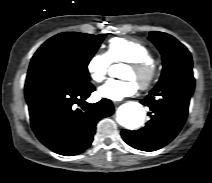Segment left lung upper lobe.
<instances>
[{"instance_id":"left-lung-upper-lobe-1","label":"left lung upper lobe","mask_w":212,"mask_h":183,"mask_svg":"<svg viewBox=\"0 0 212 183\" xmlns=\"http://www.w3.org/2000/svg\"><path fill=\"white\" fill-rule=\"evenodd\" d=\"M148 39L162 54L163 71L158 84L182 71L192 69L190 52L173 36L163 32H150Z\"/></svg>"}]
</instances>
